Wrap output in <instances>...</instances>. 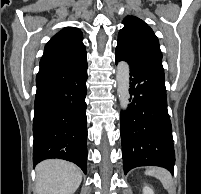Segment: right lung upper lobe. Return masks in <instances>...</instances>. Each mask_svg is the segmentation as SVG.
I'll use <instances>...</instances> for the list:
<instances>
[{
	"label": "right lung upper lobe",
	"mask_w": 201,
	"mask_h": 194,
	"mask_svg": "<svg viewBox=\"0 0 201 194\" xmlns=\"http://www.w3.org/2000/svg\"><path fill=\"white\" fill-rule=\"evenodd\" d=\"M86 63L82 32L75 27H65L46 44L39 71L73 69Z\"/></svg>",
	"instance_id": "right-lung-upper-lobe-1"
}]
</instances>
